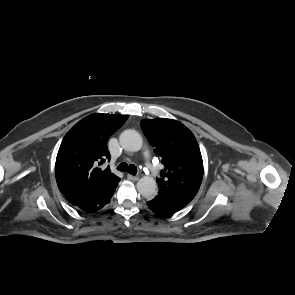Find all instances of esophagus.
<instances>
[{
    "instance_id": "obj_1",
    "label": "esophagus",
    "mask_w": 295,
    "mask_h": 295,
    "mask_svg": "<svg viewBox=\"0 0 295 295\" xmlns=\"http://www.w3.org/2000/svg\"><path fill=\"white\" fill-rule=\"evenodd\" d=\"M127 178L129 180H132V181H137L139 179L138 176H134V175H131V174H127Z\"/></svg>"
}]
</instances>
